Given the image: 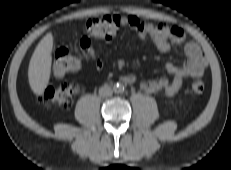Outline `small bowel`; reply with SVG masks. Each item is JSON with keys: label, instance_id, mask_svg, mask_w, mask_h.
<instances>
[{"label": "small bowel", "instance_id": "obj_1", "mask_svg": "<svg viewBox=\"0 0 231 170\" xmlns=\"http://www.w3.org/2000/svg\"><path fill=\"white\" fill-rule=\"evenodd\" d=\"M124 27L133 29L141 39H150L161 52L170 51L172 44L180 45L186 56V61L182 66H177L171 62L166 64V70L172 76L170 79L163 77L142 81L140 87L143 91L150 94L164 92L167 95H174L181 89L185 79L199 77L203 74L207 65L206 59L195 43L185 42L181 27L177 25L170 27L165 23H143L135 16L126 17ZM80 46L90 59L101 66L100 59L95 56L90 37L83 36L80 40ZM122 81L133 84L136 77L126 75L122 77Z\"/></svg>", "mask_w": 231, "mask_h": 170}]
</instances>
